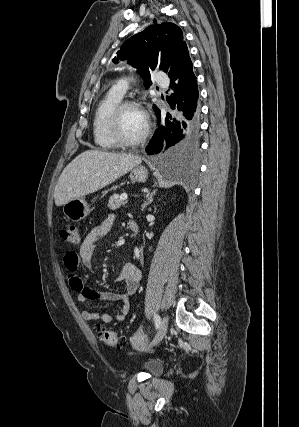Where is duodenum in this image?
Wrapping results in <instances>:
<instances>
[{"label":"duodenum","mask_w":299,"mask_h":427,"mask_svg":"<svg viewBox=\"0 0 299 427\" xmlns=\"http://www.w3.org/2000/svg\"><path fill=\"white\" fill-rule=\"evenodd\" d=\"M128 225L132 232H134L135 234H138L139 232L138 222H136L135 220H129Z\"/></svg>","instance_id":"410a0bca"}]
</instances>
